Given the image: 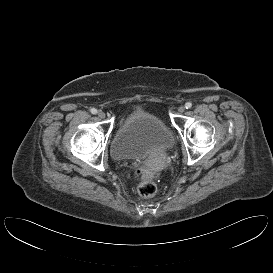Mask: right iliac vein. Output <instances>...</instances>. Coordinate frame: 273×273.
Instances as JSON below:
<instances>
[{
	"instance_id": "63e3f726",
	"label": "right iliac vein",
	"mask_w": 273,
	"mask_h": 273,
	"mask_svg": "<svg viewBox=\"0 0 273 273\" xmlns=\"http://www.w3.org/2000/svg\"><path fill=\"white\" fill-rule=\"evenodd\" d=\"M98 117L101 118V119L105 118V113L103 111H99L98 112Z\"/></svg>"
}]
</instances>
